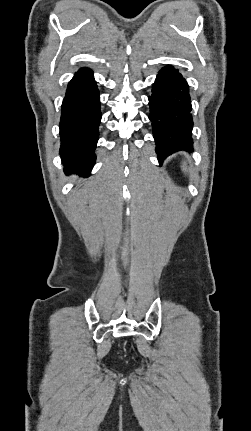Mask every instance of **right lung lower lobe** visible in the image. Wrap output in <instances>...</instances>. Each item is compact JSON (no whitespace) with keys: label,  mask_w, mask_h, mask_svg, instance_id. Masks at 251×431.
<instances>
[{"label":"right lung lower lobe","mask_w":251,"mask_h":431,"mask_svg":"<svg viewBox=\"0 0 251 431\" xmlns=\"http://www.w3.org/2000/svg\"><path fill=\"white\" fill-rule=\"evenodd\" d=\"M100 120V98L93 72L81 68L68 83L61 108L60 155L67 174L89 176L96 159Z\"/></svg>","instance_id":"1"}]
</instances>
